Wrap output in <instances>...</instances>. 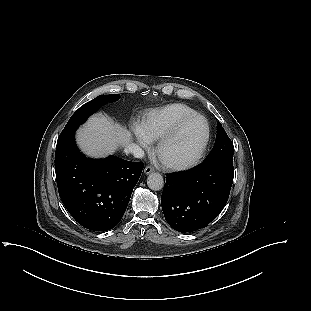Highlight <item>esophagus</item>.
Instances as JSON below:
<instances>
[{
	"mask_svg": "<svg viewBox=\"0 0 311 311\" xmlns=\"http://www.w3.org/2000/svg\"><path fill=\"white\" fill-rule=\"evenodd\" d=\"M153 171H154V167L151 166V165L146 166L145 169H144V173H145L146 175H147V174H150V173L153 172Z\"/></svg>",
	"mask_w": 311,
	"mask_h": 311,
	"instance_id": "34e87169",
	"label": "esophagus"
}]
</instances>
